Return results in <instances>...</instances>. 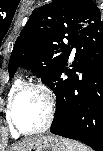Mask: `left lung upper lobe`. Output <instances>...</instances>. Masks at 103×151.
Wrapping results in <instances>:
<instances>
[{
  "label": "left lung upper lobe",
  "mask_w": 103,
  "mask_h": 151,
  "mask_svg": "<svg viewBox=\"0 0 103 151\" xmlns=\"http://www.w3.org/2000/svg\"><path fill=\"white\" fill-rule=\"evenodd\" d=\"M92 25L103 27L100 10L92 0H53L35 9L14 45L10 77L22 65L48 85L68 60L69 45Z\"/></svg>",
  "instance_id": "left-lung-upper-lobe-1"
}]
</instances>
